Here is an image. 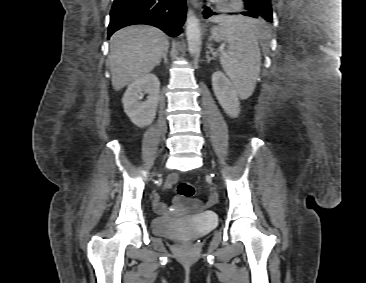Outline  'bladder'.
Returning a JSON list of instances; mask_svg holds the SVG:
<instances>
[{
    "label": "bladder",
    "mask_w": 366,
    "mask_h": 283,
    "mask_svg": "<svg viewBox=\"0 0 366 283\" xmlns=\"http://www.w3.org/2000/svg\"><path fill=\"white\" fill-rule=\"evenodd\" d=\"M216 225V221L208 217L186 220L157 217L151 223L155 234L177 240H196L212 231Z\"/></svg>",
    "instance_id": "obj_1"
}]
</instances>
